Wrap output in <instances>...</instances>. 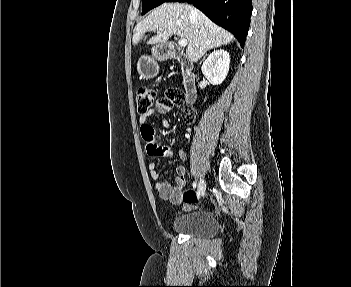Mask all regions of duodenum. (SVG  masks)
<instances>
[{"instance_id": "duodenum-1", "label": "duodenum", "mask_w": 351, "mask_h": 287, "mask_svg": "<svg viewBox=\"0 0 351 287\" xmlns=\"http://www.w3.org/2000/svg\"><path fill=\"white\" fill-rule=\"evenodd\" d=\"M156 55L159 58L177 60L180 63L182 67V83L186 91L187 103L193 105L196 101V88L191 58L174 43H166L164 46L159 47Z\"/></svg>"}]
</instances>
